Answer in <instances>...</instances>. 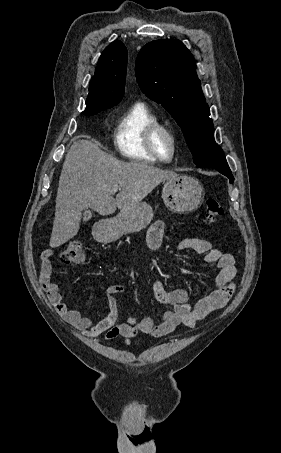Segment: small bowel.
I'll list each match as a JSON object with an SVG mask.
<instances>
[{
  "mask_svg": "<svg viewBox=\"0 0 281 453\" xmlns=\"http://www.w3.org/2000/svg\"><path fill=\"white\" fill-rule=\"evenodd\" d=\"M164 233L165 223L160 220L148 228L147 247L150 252H156L160 248ZM178 248L180 251L204 254L206 262L215 264L218 268V280L212 294L191 307L187 301L188 291L186 289L166 290L160 278H155L152 282L155 299L162 305L172 308L165 312L160 322L149 317L140 320L131 318L127 322H118L119 306L116 295L124 291L123 285L118 283L109 285L105 290V297L109 304V314L105 318L95 321L88 316L81 315L69 303L62 301L59 286L51 280V256L53 254L51 251H47L41 256L40 282L50 300L59 304V311L63 318L77 330L83 332L86 337L92 338L105 334L104 339L111 340L117 336H123L127 343L139 332H142L153 338H160L168 335L179 325L195 326L209 313L223 309L236 289L237 272L231 254L213 249L210 242L202 238L182 239Z\"/></svg>",
  "mask_w": 281,
  "mask_h": 453,
  "instance_id": "1",
  "label": "small bowel"
}]
</instances>
